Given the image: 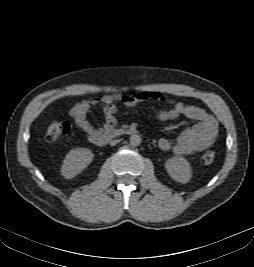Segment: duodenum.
I'll use <instances>...</instances> for the list:
<instances>
[{"mask_svg":"<svg viewBox=\"0 0 254 267\" xmlns=\"http://www.w3.org/2000/svg\"><path fill=\"white\" fill-rule=\"evenodd\" d=\"M136 131L132 128H123L116 130H107L99 133H95L90 136V141L96 146H104L112 138L123 136V135H132Z\"/></svg>","mask_w":254,"mask_h":267,"instance_id":"obj_1","label":"duodenum"}]
</instances>
